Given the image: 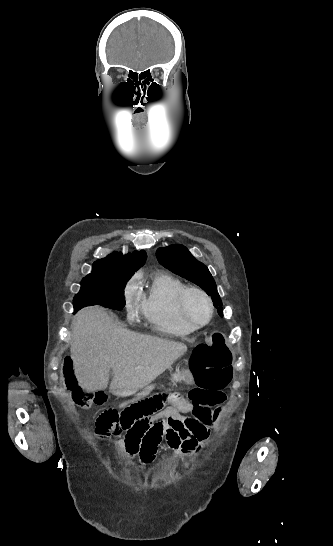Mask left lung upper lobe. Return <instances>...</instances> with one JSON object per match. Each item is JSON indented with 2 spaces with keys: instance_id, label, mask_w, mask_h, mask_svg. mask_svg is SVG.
Instances as JSON below:
<instances>
[{
  "instance_id": "obj_1",
  "label": "left lung upper lobe",
  "mask_w": 333,
  "mask_h": 546,
  "mask_svg": "<svg viewBox=\"0 0 333 546\" xmlns=\"http://www.w3.org/2000/svg\"><path fill=\"white\" fill-rule=\"evenodd\" d=\"M158 261L167 269L200 286L212 297L218 313L223 316L222 302L216 283L208 268L195 259L183 245H171L156 251Z\"/></svg>"
}]
</instances>
